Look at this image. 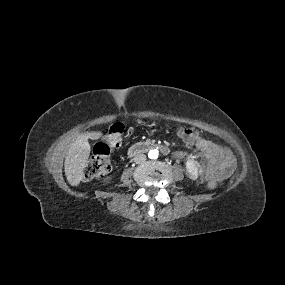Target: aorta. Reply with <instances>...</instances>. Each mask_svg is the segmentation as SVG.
Wrapping results in <instances>:
<instances>
[{
    "instance_id": "obj_1",
    "label": "aorta",
    "mask_w": 285,
    "mask_h": 285,
    "mask_svg": "<svg viewBox=\"0 0 285 285\" xmlns=\"http://www.w3.org/2000/svg\"><path fill=\"white\" fill-rule=\"evenodd\" d=\"M159 156V151L157 149H151L149 152H148V157L150 159H157Z\"/></svg>"
}]
</instances>
